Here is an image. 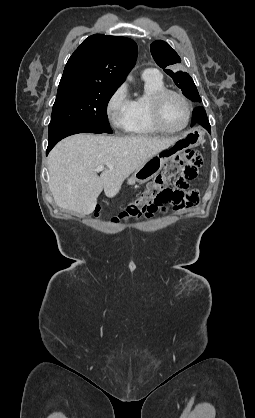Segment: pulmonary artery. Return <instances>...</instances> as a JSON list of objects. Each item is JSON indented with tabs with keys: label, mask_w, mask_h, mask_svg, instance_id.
Here are the masks:
<instances>
[{
	"label": "pulmonary artery",
	"mask_w": 255,
	"mask_h": 418,
	"mask_svg": "<svg viewBox=\"0 0 255 418\" xmlns=\"http://www.w3.org/2000/svg\"><path fill=\"white\" fill-rule=\"evenodd\" d=\"M142 77H143V79H160L161 74L155 68H147L143 71Z\"/></svg>",
	"instance_id": "pulmonary-artery-1"
}]
</instances>
